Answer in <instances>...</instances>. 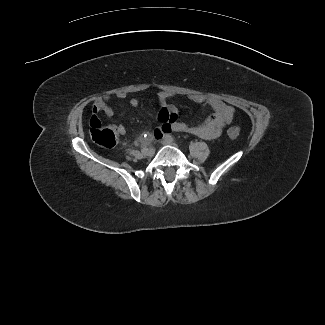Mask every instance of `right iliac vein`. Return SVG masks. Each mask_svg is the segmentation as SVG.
Returning a JSON list of instances; mask_svg holds the SVG:
<instances>
[{
    "label": "right iliac vein",
    "mask_w": 325,
    "mask_h": 325,
    "mask_svg": "<svg viewBox=\"0 0 325 325\" xmlns=\"http://www.w3.org/2000/svg\"><path fill=\"white\" fill-rule=\"evenodd\" d=\"M154 153H155V150L153 148H150L145 152V155L148 157H152L154 155Z\"/></svg>",
    "instance_id": "right-iliac-vein-1"
}]
</instances>
